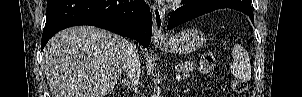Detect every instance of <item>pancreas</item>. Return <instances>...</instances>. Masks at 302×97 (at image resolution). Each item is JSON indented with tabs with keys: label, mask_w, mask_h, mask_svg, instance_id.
<instances>
[{
	"label": "pancreas",
	"mask_w": 302,
	"mask_h": 97,
	"mask_svg": "<svg viewBox=\"0 0 302 97\" xmlns=\"http://www.w3.org/2000/svg\"><path fill=\"white\" fill-rule=\"evenodd\" d=\"M195 63L194 62H183L179 63L178 65V72H181L184 76H188L190 73H192L195 69Z\"/></svg>",
	"instance_id": "1"
}]
</instances>
